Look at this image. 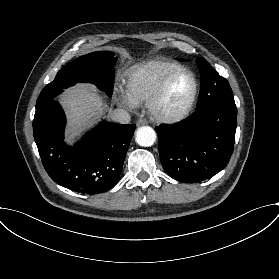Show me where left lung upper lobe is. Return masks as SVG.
I'll use <instances>...</instances> for the list:
<instances>
[{
  "label": "left lung upper lobe",
  "mask_w": 279,
  "mask_h": 279,
  "mask_svg": "<svg viewBox=\"0 0 279 279\" xmlns=\"http://www.w3.org/2000/svg\"><path fill=\"white\" fill-rule=\"evenodd\" d=\"M197 65L201 75V90L196 110L216 105L237 111L228 81L221 77L204 58H197Z\"/></svg>",
  "instance_id": "left-lung-upper-lobe-1"
}]
</instances>
